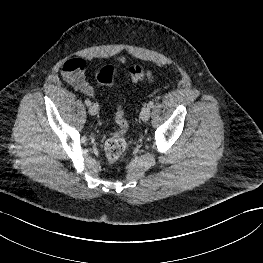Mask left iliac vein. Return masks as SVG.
Masks as SVG:
<instances>
[{
    "instance_id": "obj_1",
    "label": "left iliac vein",
    "mask_w": 263,
    "mask_h": 263,
    "mask_svg": "<svg viewBox=\"0 0 263 263\" xmlns=\"http://www.w3.org/2000/svg\"><path fill=\"white\" fill-rule=\"evenodd\" d=\"M150 115H151L150 107L145 106L140 113V118L142 121L146 122L150 118Z\"/></svg>"
}]
</instances>
